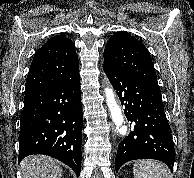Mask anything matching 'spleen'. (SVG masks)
<instances>
[{"label":"spleen","instance_id":"spleen-1","mask_svg":"<svg viewBox=\"0 0 194 178\" xmlns=\"http://www.w3.org/2000/svg\"><path fill=\"white\" fill-rule=\"evenodd\" d=\"M135 178H171L168 167L155 160H139L133 165Z\"/></svg>","mask_w":194,"mask_h":178}]
</instances>
